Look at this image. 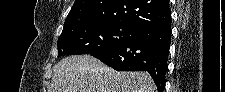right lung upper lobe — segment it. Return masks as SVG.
<instances>
[{
    "mask_svg": "<svg viewBox=\"0 0 225 92\" xmlns=\"http://www.w3.org/2000/svg\"><path fill=\"white\" fill-rule=\"evenodd\" d=\"M169 21L168 0H76L63 30L89 22H119L140 29Z\"/></svg>",
    "mask_w": 225,
    "mask_h": 92,
    "instance_id": "1",
    "label": "right lung upper lobe"
}]
</instances>
